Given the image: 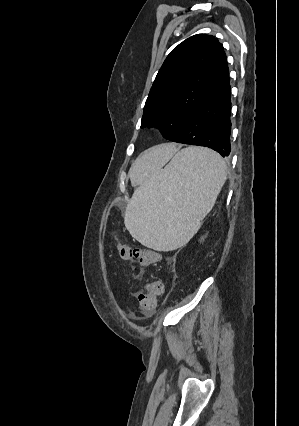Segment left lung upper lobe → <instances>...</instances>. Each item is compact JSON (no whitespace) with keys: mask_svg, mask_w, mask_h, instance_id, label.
I'll return each instance as SVG.
<instances>
[{"mask_svg":"<svg viewBox=\"0 0 299 426\" xmlns=\"http://www.w3.org/2000/svg\"><path fill=\"white\" fill-rule=\"evenodd\" d=\"M228 71L223 46L214 36L187 38L160 68L144 106L141 127H157L164 138L172 140Z\"/></svg>","mask_w":299,"mask_h":426,"instance_id":"5c2ea615","label":"left lung upper lobe"}]
</instances>
